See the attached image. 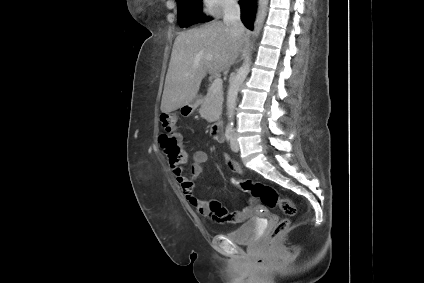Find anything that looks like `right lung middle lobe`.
Masks as SVG:
<instances>
[{"mask_svg": "<svg viewBox=\"0 0 424 283\" xmlns=\"http://www.w3.org/2000/svg\"><path fill=\"white\" fill-rule=\"evenodd\" d=\"M178 10V23L180 27H188L199 22L210 21L202 12L201 0H176Z\"/></svg>", "mask_w": 424, "mask_h": 283, "instance_id": "right-lung-middle-lobe-1", "label": "right lung middle lobe"}]
</instances>
